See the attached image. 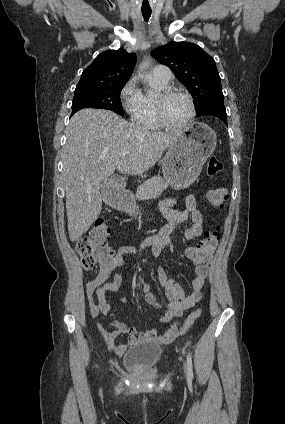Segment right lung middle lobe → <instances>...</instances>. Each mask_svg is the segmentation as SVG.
<instances>
[{"mask_svg":"<svg viewBox=\"0 0 285 424\" xmlns=\"http://www.w3.org/2000/svg\"><path fill=\"white\" fill-rule=\"evenodd\" d=\"M126 83L77 86L72 111L83 108H100L124 115L120 93Z\"/></svg>","mask_w":285,"mask_h":424,"instance_id":"1","label":"right lung middle lobe"}]
</instances>
